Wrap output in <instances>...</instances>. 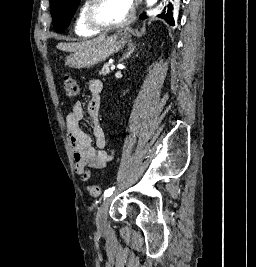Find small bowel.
<instances>
[{
    "mask_svg": "<svg viewBox=\"0 0 256 267\" xmlns=\"http://www.w3.org/2000/svg\"><path fill=\"white\" fill-rule=\"evenodd\" d=\"M88 89L91 94L87 104L88 123L92 136L83 131L79 124L85 118L81 102H75L66 116V131L72 147L75 171L85 178L89 176L91 170L103 168L113 159L112 155L104 150L106 138L98 120L102 81L91 79L88 82Z\"/></svg>",
    "mask_w": 256,
    "mask_h": 267,
    "instance_id": "1",
    "label": "small bowel"
}]
</instances>
